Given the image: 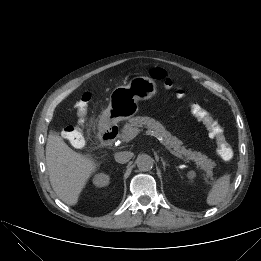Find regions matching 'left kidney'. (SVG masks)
Returning <instances> with one entry per match:
<instances>
[{
    "instance_id": "left-kidney-1",
    "label": "left kidney",
    "mask_w": 261,
    "mask_h": 261,
    "mask_svg": "<svg viewBox=\"0 0 261 261\" xmlns=\"http://www.w3.org/2000/svg\"><path fill=\"white\" fill-rule=\"evenodd\" d=\"M187 176L189 179H193L196 176V174L194 171H190Z\"/></svg>"
}]
</instances>
